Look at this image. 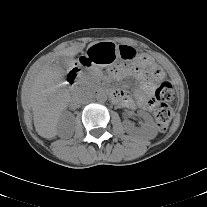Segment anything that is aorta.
Wrapping results in <instances>:
<instances>
[{"label":"aorta","instance_id":"obj_1","mask_svg":"<svg viewBox=\"0 0 207 207\" xmlns=\"http://www.w3.org/2000/svg\"><path fill=\"white\" fill-rule=\"evenodd\" d=\"M107 93L105 91H99L96 93L95 98L98 102L104 103L107 101Z\"/></svg>","mask_w":207,"mask_h":207}]
</instances>
